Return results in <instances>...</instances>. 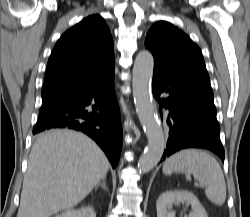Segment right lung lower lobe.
<instances>
[{"label": "right lung lower lobe", "instance_id": "1", "mask_svg": "<svg viewBox=\"0 0 250 217\" xmlns=\"http://www.w3.org/2000/svg\"><path fill=\"white\" fill-rule=\"evenodd\" d=\"M88 106L93 110H87ZM51 128H68L87 134L115 168L122 149V127L114 69L91 84L42 100L33 134Z\"/></svg>", "mask_w": 250, "mask_h": 217}]
</instances>
